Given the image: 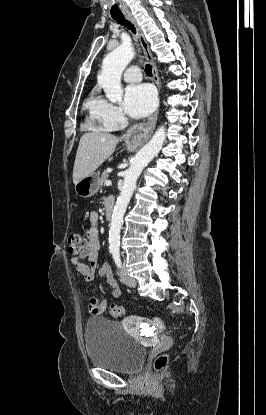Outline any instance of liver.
<instances>
[{
	"label": "liver",
	"instance_id": "1",
	"mask_svg": "<svg viewBox=\"0 0 266 415\" xmlns=\"http://www.w3.org/2000/svg\"><path fill=\"white\" fill-rule=\"evenodd\" d=\"M118 138L110 133L94 131L82 135L73 167V183L91 175L115 150Z\"/></svg>",
	"mask_w": 266,
	"mask_h": 415
}]
</instances>
